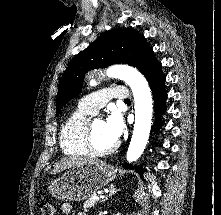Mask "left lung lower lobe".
I'll return each instance as SVG.
<instances>
[{
    "label": "left lung lower lobe",
    "instance_id": "1",
    "mask_svg": "<svg viewBox=\"0 0 221 215\" xmlns=\"http://www.w3.org/2000/svg\"><path fill=\"white\" fill-rule=\"evenodd\" d=\"M143 75L146 77V79L149 82V85L152 89L153 99L155 102V110H156V122L160 124V119L165 112V100L167 97V92L164 87L165 83V76L163 72L161 71V64L157 61L154 64H152L149 68H147ZM125 167L131 168L132 165L124 164ZM137 172L140 174L143 173V170L141 168L136 169Z\"/></svg>",
    "mask_w": 221,
    "mask_h": 215
}]
</instances>
